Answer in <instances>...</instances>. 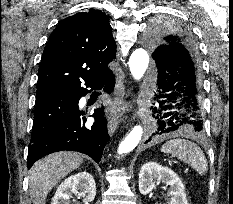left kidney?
<instances>
[{
	"mask_svg": "<svg viewBox=\"0 0 233 204\" xmlns=\"http://www.w3.org/2000/svg\"><path fill=\"white\" fill-rule=\"evenodd\" d=\"M161 182L169 187L171 199L168 201V204H189L184 184L174 171L156 162H148L141 167L139 172V190L142 195L151 193L156 188V185Z\"/></svg>",
	"mask_w": 233,
	"mask_h": 204,
	"instance_id": "obj_1",
	"label": "left kidney"
}]
</instances>
